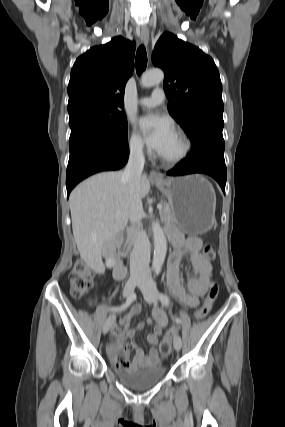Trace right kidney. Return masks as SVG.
<instances>
[{
  "instance_id": "right-kidney-1",
  "label": "right kidney",
  "mask_w": 285,
  "mask_h": 427,
  "mask_svg": "<svg viewBox=\"0 0 285 427\" xmlns=\"http://www.w3.org/2000/svg\"><path fill=\"white\" fill-rule=\"evenodd\" d=\"M116 261L115 258L113 256H109L106 259V267L107 268H112L115 265Z\"/></svg>"
}]
</instances>
